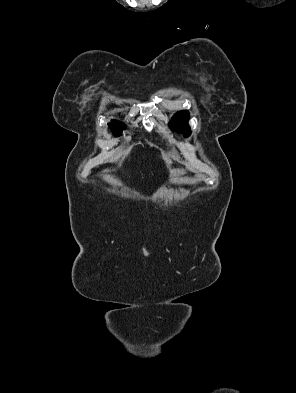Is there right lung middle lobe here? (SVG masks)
I'll return each mask as SVG.
<instances>
[{"label": "right lung middle lobe", "mask_w": 296, "mask_h": 393, "mask_svg": "<svg viewBox=\"0 0 296 393\" xmlns=\"http://www.w3.org/2000/svg\"><path fill=\"white\" fill-rule=\"evenodd\" d=\"M108 125H110V128L115 136L120 135L122 130L125 128L123 123L114 120Z\"/></svg>", "instance_id": "obj_1"}]
</instances>
